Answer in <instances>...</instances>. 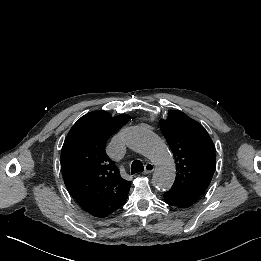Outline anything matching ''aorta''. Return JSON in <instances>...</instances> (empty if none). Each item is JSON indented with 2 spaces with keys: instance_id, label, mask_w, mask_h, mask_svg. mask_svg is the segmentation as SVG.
<instances>
[{
  "instance_id": "762f6f07",
  "label": "aorta",
  "mask_w": 261,
  "mask_h": 261,
  "mask_svg": "<svg viewBox=\"0 0 261 261\" xmlns=\"http://www.w3.org/2000/svg\"><path fill=\"white\" fill-rule=\"evenodd\" d=\"M121 137L133 151L150 159L156 166L153 185L161 191L171 188L175 180V163L165 142L152 131L142 126L126 127Z\"/></svg>"
}]
</instances>
